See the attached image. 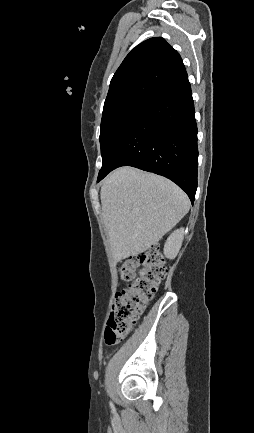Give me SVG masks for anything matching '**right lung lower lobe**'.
<instances>
[{
	"mask_svg": "<svg viewBox=\"0 0 254 433\" xmlns=\"http://www.w3.org/2000/svg\"><path fill=\"white\" fill-rule=\"evenodd\" d=\"M197 125L186 71L162 86L117 138L98 182L120 166L169 178L193 204L197 189Z\"/></svg>",
	"mask_w": 254,
	"mask_h": 433,
	"instance_id": "1",
	"label": "right lung lower lobe"
}]
</instances>
